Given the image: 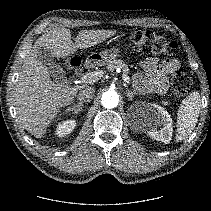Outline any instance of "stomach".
I'll return each mask as SVG.
<instances>
[{
  "label": "stomach",
  "mask_w": 211,
  "mask_h": 211,
  "mask_svg": "<svg viewBox=\"0 0 211 211\" xmlns=\"http://www.w3.org/2000/svg\"><path fill=\"white\" fill-rule=\"evenodd\" d=\"M121 53V47H112L106 49L100 54H93L88 58V61L95 65L108 64L114 59H116Z\"/></svg>",
  "instance_id": "0dacf381"
}]
</instances>
